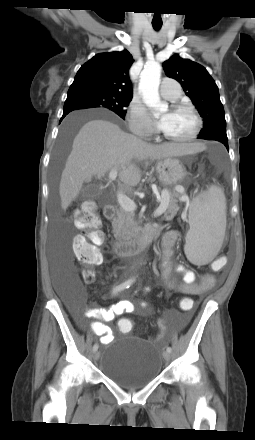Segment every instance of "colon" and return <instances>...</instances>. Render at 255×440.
Instances as JSON below:
<instances>
[{
    "label": "colon",
    "mask_w": 255,
    "mask_h": 440,
    "mask_svg": "<svg viewBox=\"0 0 255 440\" xmlns=\"http://www.w3.org/2000/svg\"><path fill=\"white\" fill-rule=\"evenodd\" d=\"M75 226L83 231V235L75 237L73 242L74 253L90 269L84 274L83 279L91 282L94 278L92 267L101 264L102 253L100 246L105 242V235L101 231V219L96 212V206L92 202L83 204L82 209L76 214ZM181 311H193L195 304L193 298H179ZM118 327L121 332L128 333L132 329V321L128 318L119 320Z\"/></svg>",
    "instance_id": "colon-1"
}]
</instances>
